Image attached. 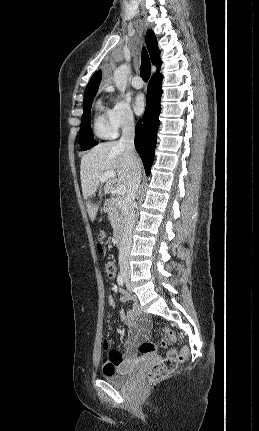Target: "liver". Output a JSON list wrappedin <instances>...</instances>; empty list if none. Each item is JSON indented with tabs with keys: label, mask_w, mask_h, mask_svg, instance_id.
<instances>
[{
	"label": "liver",
	"mask_w": 259,
	"mask_h": 431,
	"mask_svg": "<svg viewBox=\"0 0 259 431\" xmlns=\"http://www.w3.org/2000/svg\"><path fill=\"white\" fill-rule=\"evenodd\" d=\"M137 168L142 171L141 160L137 157ZM107 171H114L117 179L111 178L105 181L104 193H108L112 184L116 181L129 190L131 182V168L125 159V151L119 147L118 142L101 143L84 154L80 164V176L83 196L87 201V212L91 221L95 220L99 205L91 203L100 186L99 177Z\"/></svg>",
	"instance_id": "1"
}]
</instances>
